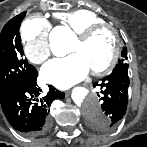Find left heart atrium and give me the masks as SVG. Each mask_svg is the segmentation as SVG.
Here are the masks:
<instances>
[{
  "label": "left heart atrium",
  "mask_w": 147,
  "mask_h": 147,
  "mask_svg": "<svg viewBox=\"0 0 147 147\" xmlns=\"http://www.w3.org/2000/svg\"><path fill=\"white\" fill-rule=\"evenodd\" d=\"M90 67L81 54L73 53L46 63L41 70L42 79L58 88L66 89L83 80Z\"/></svg>",
  "instance_id": "39dd6f15"
}]
</instances>
